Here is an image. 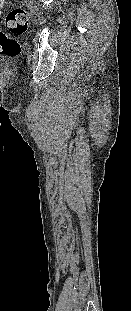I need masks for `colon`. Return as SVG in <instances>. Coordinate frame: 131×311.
Wrapping results in <instances>:
<instances>
[{
	"mask_svg": "<svg viewBox=\"0 0 131 311\" xmlns=\"http://www.w3.org/2000/svg\"><path fill=\"white\" fill-rule=\"evenodd\" d=\"M6 0H0V7ZM0 25L4 31L0 30V56L15 57L20 52V44L17 37L21 36L27 29L28 15L22 8H14L5 17L0 18Z\"/></svg>",
	"mask_w": 131,
	"mask_h": 311,
	"instance_id": "1",
	"label": "colon"
}]
</instances>
